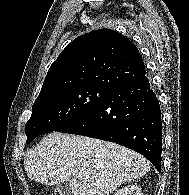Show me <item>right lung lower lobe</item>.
Listing matches in <instances>:
<instances>
[{
  "label": "right lung lower lobe",
  "mask_w": 189,
  "mask_h": 195,
  "mask_svg": "<svg viewBox=\"0 0 189 195\" xmlns=\"http://www.w3.org/2000/svg\"><path fill=\"white\" fill-rule=\"evenodd\" d=\"M143 75L112 90L85 115L58 132L115 142L132 149L161 171V111Z\"/></svg>",
  "instance_id": "obj_1"
}]
</instances>
